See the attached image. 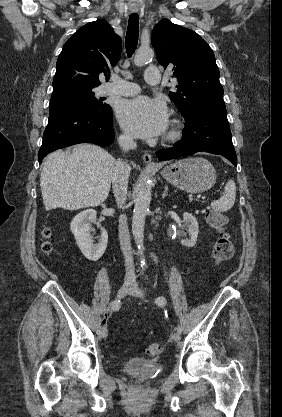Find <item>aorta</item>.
<instances>
[{
	"label": "aorta",
	"mask_w": 282,
	"mask_h": 417,
	"mask_svg": "<svg viewBox=\"0 0 282 417\" xmlns=\"http://www.w3.org/2000/svg\"><path fill=\"white\" fill-rule=\"evenodd\" d=\"M153 56L154 50H152V48H138L134 56V64L143 66V64H146ZM151 194L150 180L145 178L143 186H141L140 190H138V194H136L132 217V233L135 245L138 251H140V267L142 271H145L147 267L146 259L144 257V227L151 202Z\"/></svg>",
	"instance_id": "obj_1"
}]
</instances>
